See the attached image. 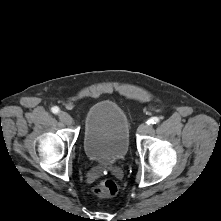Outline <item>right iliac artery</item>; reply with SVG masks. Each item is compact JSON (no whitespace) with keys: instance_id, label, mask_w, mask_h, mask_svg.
I'll use <instances>...</instances> for the list:
<instances>
[{"instance_id":"1","label":"right iliac artery","mask_w":221,"mask_h":221,"mask_svg":"<svg viewBox=\"0 0 221 221\" xmlns=\"http://www.w3.org/2000/svg\"><path fill=\"white\" fill-rule=\"evenodd\" d=\"M51 111L54 113V114H57V113H59V108L57 107V106H54V107H52L51 108Z\"/></svg>"}]
</instances>
